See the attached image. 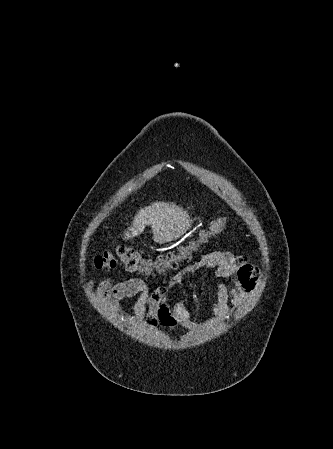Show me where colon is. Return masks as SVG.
Returning a JSON list of instances; mask_svg holds the SVG:
<instances>
[{
  "instance_id": "obj_1",
  "label": "colon",
  "mask_w": 333,
  "mask_h": 449,
  "mask_svg": "<svg viewBox=\"0 0 333 449\" xmlns=\"http://www.w3.org/2000/svg\"><path fill=\"white\" fill-rule=\"evenodd\" d=\"M227 221L226 217L217 218L188 244L154 259L145 257L132 247L120 246L113 252H104L97 255L94 258V266L98 270H105L114 268L118 263H121L132 272L163 273L176 268L180 262L189 259L209 238L220 233L226 226Z\"/></svg>"
}]
</instances>
